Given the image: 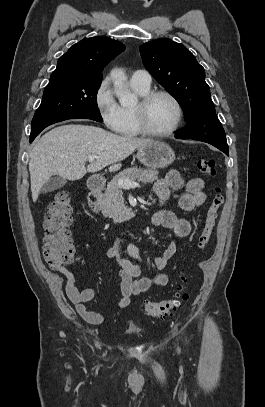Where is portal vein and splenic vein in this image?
<instances>
[{
	"label": "portal vein and splenic vein",
	"mask_w": 265,
	"mask_h": 407,
	"mask_svg": "<svg viewBox=\"0 0 265 407\" xmlns=\"http://www.w3.org/2000/svg\"><path fill=\"white\" fill-rule=\"evenodd\" d=\"M97 157L96 156H89L88 160L90 163H93ZM118 185L122 188L129 189L139 187V183L128 180V179H121L118 181Z\"/></svg>",
	"instance_id": "portal-vein-and-splenic-vein-1"
}]
</instances>
